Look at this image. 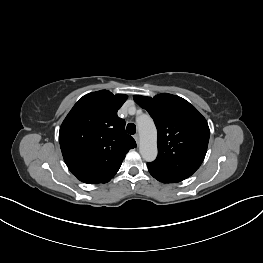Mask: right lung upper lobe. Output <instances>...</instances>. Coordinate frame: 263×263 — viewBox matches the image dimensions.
I'll list each match as a JSON object with an SVG mask.
<instances>
[{
  "label": "right lung upper lobe",
  "mask_w": 263,
  "mask_h": 263,
  "mask_svg": "<svg viewBox=\"0 0 263 263\" xmlns=\"http://www.w3.org/2000/svg\"><path fill=\"white\" fill-rule=\"evenodd\" d=\"M127 95L107 90L83 96L71 109L59 131L62 155L69 170L88 184L108 182L125 155L136 147L125 132L117 111Z\"/></svg>",
  "instance_id": "right-lung-upper-lobe-1"
}]
</instances>
